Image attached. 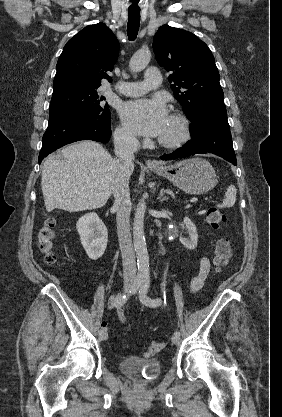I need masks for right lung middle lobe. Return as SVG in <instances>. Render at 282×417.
<instances>
[{"label":"right lung middle lobe","mask_w":282,"mask_h":417,"mask_svg":"<svg viewBox=\"0 0 282 417\" xmlns=\"http://www.w3.org/2000/svg\"><path fill=\"white\" fill-rule=\"evenodd\" d=\"M103 100L105 97L98 96L97 87L55 92L50 103L49 119L70 111H83L98 116L109 115L108 104H103Z\"/></svg>","instance_id":"right-lung-middle-lobe-1"}]
</instances>
